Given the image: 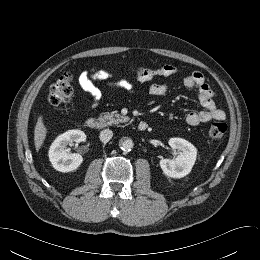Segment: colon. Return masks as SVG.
<instances>
[{
  "label": "colon",
  "mask_w": 260,
  "mask_h": 260,
  "mask_svg": "<svg viewBox=\"0 0 260 260\" xmlns=\"http://www.w3.org/2000/svg\"><path fill=\"white\" fill-rule=\"evenodd\" d=\"M138 76H144L148 73L147 69H138ZM73 76L70 73H64L51 85L49 90V102L57 108L66 106L73 95ZM227 131V126L221 122L212 123L208 128V137L211 140L221 139Z\"/></svg>",
  "instance_id": "obj_1"
}]
</instances>
